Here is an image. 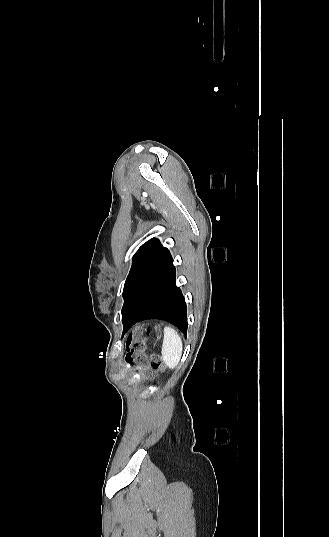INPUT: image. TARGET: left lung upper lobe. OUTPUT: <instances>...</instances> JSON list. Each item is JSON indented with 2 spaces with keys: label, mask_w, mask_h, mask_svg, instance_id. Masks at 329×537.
Instances as JSON below:
<instances>
[{
  "label": "left lung upper lobe",
  "mask_w": 329,
  "mask_h": 537,
  "mask_svg": "<svg viewBox=\"0 0 329 537\" xmlns=\"http://www.w3.org/2000/svg\"><path fill=\"white\" fill-rule=\"evenodd\" d=\"M172 260L168 249L156 238L139 248L133 256V264L124 284L122 318L132 310L148 285Z\"/></svg>",
  "instance_id": "5c2ea615"
}]
</instances>
